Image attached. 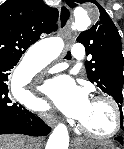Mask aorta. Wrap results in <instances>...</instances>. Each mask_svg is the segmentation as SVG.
Masks as SVG:
<instances>
[{
    "label": "aorta",
    "instance_id": "1",
    "mask_svg": "<svg viewBox=\"0 0 124 149\" xmlns=\"http://www.w3.org/2000/svg\"><path fill=\"white\" fill-rule=\"evenodd\" d=\"M91 24V20L87 12L81 8L74 12V19L72 21V29L85 30ZM44 47H48L55 51H61L63 48V41L60 37H53L43 42ZM31 60L25 59L15 70L12 79L13 88L16 86L22 87L26 81L25 77L31 73ZM69 134L65 125L59 124L55 127L53 133L50 135L45 149H68Z\"/></svg>",
    "mask_w": 124,
    "mask_h": 149
}]
</instances>
